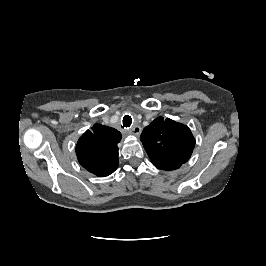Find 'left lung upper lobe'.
Masks as SVG:
<instances>
[{
  "label": "left lung upper lobe",
  "mask_w": 266,
  "mask_h": 266,
  "mask_svg": "<svg viewBox=\"0 0 266 266\" xmlns=\"http://www.w3.org/2000/svg\"><path fill=\"white\" fill-rule=\"evenodd\" d=\"M141 141L152 162L161 170H175L187 162L195 146L190 129L169 118H156L141 134Z\"/></svg>",
  "instance_id": "left-lung-upper-lobe-1"
}]
</instances>
